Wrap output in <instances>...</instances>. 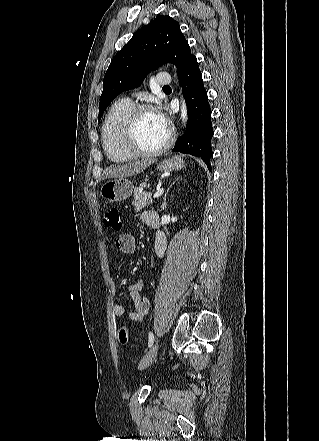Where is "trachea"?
Returning <instances> with one entry per match:
<instances>
[{"label": "trachea", "instance_id": "obj_1", "mask_svg": "<svg viewBox=\"0 0 319 441\" xmlns=\"http://www.w3.org/2000/svg\"><path fill=\"white\" fill-rule=\"evenodd\" d=\"M169 88H170L169 86H164V87H163V89H169Z\"/></svg>", "mask_w": 319, "mask_h": 441}]
</instances>
